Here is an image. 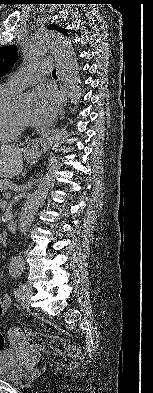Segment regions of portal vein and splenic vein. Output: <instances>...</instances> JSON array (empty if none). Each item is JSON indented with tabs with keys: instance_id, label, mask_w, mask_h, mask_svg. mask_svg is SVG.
<instances>
[{
	"instance_id": "obj_1",
	"label": "portal vein and splenic vein",
	"mask_w": 153,
	"mask_h": 393,
	"mask_svg": "<svg viewBox=\"0 0 153 393\" xmlns=\"http://www.w3.org/2000/svg\"><path fill=\"white\" fill-rule=\"evenodd\" d=\"M12 186H13V185H12ZM10 196H11L10 193H7V194H6V197H7V198H9Z\"/></svg>"
}]
</instances>
